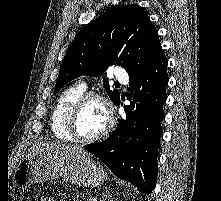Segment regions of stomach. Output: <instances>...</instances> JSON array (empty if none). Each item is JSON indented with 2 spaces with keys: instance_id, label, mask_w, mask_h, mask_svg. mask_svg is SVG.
Instances as JSON below:
<instances>
[{
  "instance_id": "0dacf381",
  "label": "stomach",
  "mask_w": 221,
  "mask_h": 201,
  "mask_svg": "<svg viewBox=\"0 0 221 201\" xmlns=\"http://www.w3.org/2000/svg\"><path fill=\"white\" fill-rule=\"evenodd\" d=\"M58 177L75 185L98 187L106 180V173L88 153H34L19 162L13 174V183L19 188H25Z\"/></svg>"
}]
</instances>
